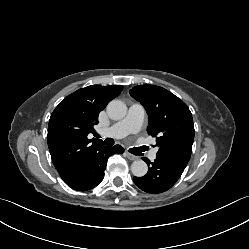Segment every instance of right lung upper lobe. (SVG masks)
<instances>
[{
	"label": "right lung upper lobe",
	"mask_w": 249,
	"mask_h": 249,
	"mask_svg": "<svg viewBox=\"0 0 249 249\" xmlns=\"http://www.w3.org/2000/svg\"><path fill=\"white\" fill-rule=\"evenodd\" d=\"M121 85H91L67 96L53 111L48 125L47 142L55 168L64 182L87 160L91 152L102 145L89 139L94 125L106 105L118 96Z\"/></svg>",
	"instance_id": "right-lung-upper-lobe-1"
}]
</instances>
